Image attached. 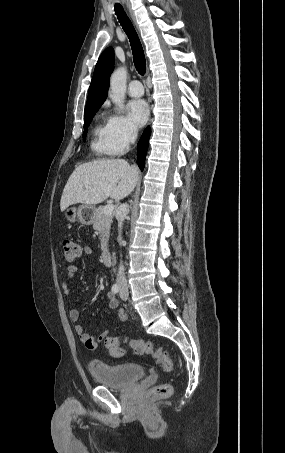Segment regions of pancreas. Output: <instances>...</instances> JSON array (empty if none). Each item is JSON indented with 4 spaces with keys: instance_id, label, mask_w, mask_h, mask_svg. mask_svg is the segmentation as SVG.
<instances>
[{
    "instance_id": "cf45deb5",
    "label": "pancreas",
    "mask_w": 285,
    "mask_h": 453,
    "mask_svg": "<svg viewBox=\"0 0 285 453\" xmlns=\"http://www.w3.org/2000/svg\"><path fill=\"white\" fill-rule=\"evenodd\" d=\"M104 207H99L95 212V217L93 221V228L99 231V239L101 242V249L102 251H107L108 239L110 235V227L113 221L112 214H105Z\"/></svg>"
}]
</instances>
